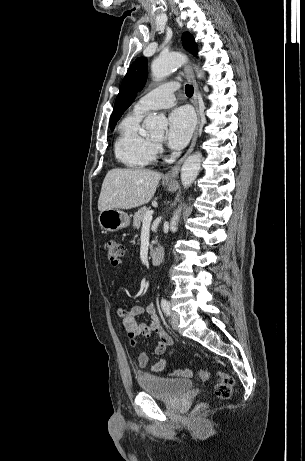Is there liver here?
<instances>
[{
	"label": "liver",
	"instance_id": "obj_1",
	"mask_svg": "<svg viewBox=\"0 0 305 461\" xmlns=\"http://www.w3.org/2000/svg\"><path fill=\"white\" fill-rule=\"evenodd\" d=\"M161 176L148 169L109 170L102 184L98 210L131 209L148 203Z\"/></svg>",
	"mask_w": 305,
	"mask_h": 461
}]
</instances>
